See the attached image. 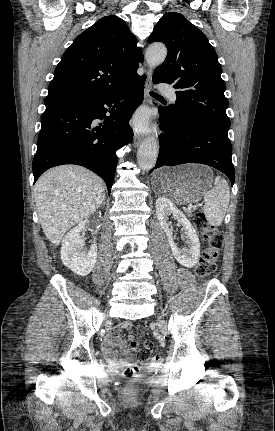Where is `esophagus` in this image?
<instances>
[{
	"label": "esophagus",
	"mask_w": 275,
	"mask_h": 431,
	"mask_svg": "<svg viewBox=\"0 0 275 431\" xmlns=\"http://www.w3.org/2000/svg\"><path fill=\"white\" fill-rule=\"evenodd\" d=\"M152 86V70L148 69L146 72V81H145V87H144V103L148 101L149 98V91ZM142 141V137L139 134L134 135V145L139 146V144Z\"/></svg>",
	"instance_id": "1"
}]
</instances>
